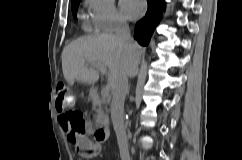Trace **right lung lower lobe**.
Returning <instances> with one entry per match:
<instances>
[{
  "label": "right lung lower lobe",
  "mask_w": 242,
  "mask_h": 160,
  "mask_svg": "<svg viewBox=\"0 0 242 160\" xmlns=\"http://www.w3.org/2000/svg\"><path fill=\"white\" fill-rule=\"evenodd\" d=\"M147 2V13L137 22L134 32V38L143 46L148 45L154 29L162 18V12L165 11L164 0H147Z\"/></svg>",
  "instance_id": "right-lung-lower-lobe-1"
}]
</instances>
